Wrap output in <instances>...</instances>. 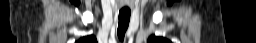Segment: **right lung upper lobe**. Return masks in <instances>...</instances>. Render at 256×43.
<instances>
[{
  "label": "right lung upper lobe",
  "instance_id": "obj_1",
  "mask_svg": "<svg viewBox=\"0 0 256 43\" xmlns=\"http://www.w3.org/2000/svg\"><path fill=\"white\" fill-rule=\"evenodd\" d=\"M96 42H97L96 38L93 35H90V36L81 38L76 43H96Z\"/></svg>",
  "mask_w": 256,
  "mask_h": 43
}]
</instances>
